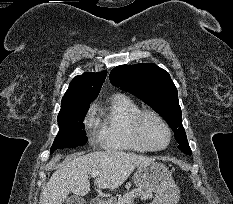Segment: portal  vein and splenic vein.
I'll use <instances>...</instances> for the list:
<instances>
[{"label":"portal vein and splenic vein","mask_w":233,"mask_h":204,"mask_svg":"<svg viewBox=\"0 0 233 204\" xmlns=\"http://www.w3.org/2000/svg\"><path fill=\"white\" fill-rule=\"evenodd\" d=\"M99 174H100V171H99V170H95V171H93V172L91 173V175H92L93 178L96 177V176H98Z\"/></svg>","instance_id":"portal-vein-and-splenic-vein-1"}]
</instances>
